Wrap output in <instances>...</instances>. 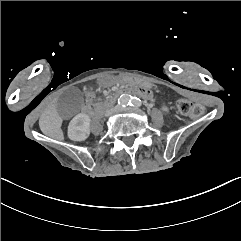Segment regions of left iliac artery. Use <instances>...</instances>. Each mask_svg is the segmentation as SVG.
<instances>
[{"label": "left iliac artery", "instance_id": "left-iliac-artery-1", "mask_svg": "<svg viewBox=\"0 0 241 241\" xmlns=\"http://www.w3.org/2000/svg\"><path fill=\"white\" fill-rule=\"evenodd\" d=\"M141 105H142V102L139 98L133 97L131 99L130 106L138 108V107H141Z\"/></svg>", "mask_w": 241, "mask_h": 241}]
</instances>
